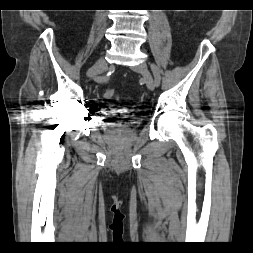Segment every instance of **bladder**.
<instances>
[{
  "mask_svg": "<svg viewBox=\"0 0 253 253\" xmlns=\"http://www.w3.org/2000/svg\"><path fill=\"white\" fill-rule=\"evenodd\" d=\"M132 124H133V120H128L126 122L116 124V127H118V128H128Z\"/></svg>",
  "mask_w": 253,
  "mask_h": 253,
  "instance_id": "bladder-1",
  "label": "bladder"
}]
</instances>
